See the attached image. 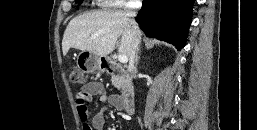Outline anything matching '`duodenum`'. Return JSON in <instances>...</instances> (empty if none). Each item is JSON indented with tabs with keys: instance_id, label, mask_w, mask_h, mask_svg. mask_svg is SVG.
I'll list each match as a JSON object with an SVG mask.
<instances>
[{
	"instance_id": "410a0bca",
	"label": "duodenum",
	"mask_w": 257,
	"mask_h": 130,
	"mask_svg": "<svg viewBox=\"0 0 257 130\" xmlns=\"http://www.w3.org/2000/svg\"><path fill=\"white\" fill-rule=\"evenodd\" d=\"M102 68L107 73L117 76L122 81L121 109L125 114H130L134 109V88L126 71L110 59H104Z\"/></svg>"
}]
</instances>
